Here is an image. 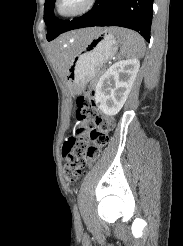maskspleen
<instances>
[{
  "mask_svg": "<svg viewBox=\"0 0 183 246\" xmlns=\"http://www.w3.org/2000/svg\"><path fill=\"white\" fill-rule=\"evenodd\" d=\"M116 38L122 44L121 54L127 57H143L146 51L144 39L138 34L129 29L117 28L115 32ZM94 56L85 57L82 63L88 62Z\"/></svg>",
  "mask_w": 183,
  "mask_h": 246,
  "instance_id": "3e777b00",
  "label": "spleen"
}]
</instances>
